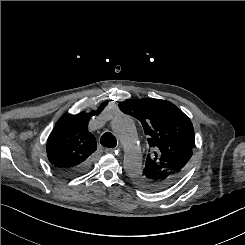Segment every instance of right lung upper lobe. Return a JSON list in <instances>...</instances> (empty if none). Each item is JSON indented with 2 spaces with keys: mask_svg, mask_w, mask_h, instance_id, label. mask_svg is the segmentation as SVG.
I'll return each instance as SVG.
<instances>
[{
  "mask_svg": "<svg viewBox=\"0 0 245 245\" xmlns=\"http://www.w3.org/2000/svg\"><path fill=\"white\" fill-rule=\"evenodd\" d=\"M107 102L90 113L63 115L47 140L49 162L56 169H72L91 159L97 149L95 136L88 131L89 119L101 113Z\"/></svg>",
  "mask_w": 245,
  "mask_h": 245,
  "instance_id": "1",
  "label": "right lung upper lobe"
}]
</instances>
